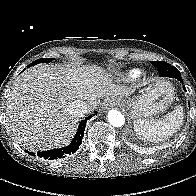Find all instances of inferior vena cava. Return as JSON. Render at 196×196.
<instances>
[{
    "mask_svg": "<svg viewBox=\"0 0 196 196\" xmlns=\"http://www.w3.org/2000/svg\"><path fill=\"white\" fill-rule=\"evenodd\" d=\"M69 111L71 114L81 117L88 111V105L81 100H75L70 106Z\"/></svg>",
    "mask_w": 196,
    "mask_h": 196,
    "instance_id": "obj_1",
    "label": "inferior vena cava"
}]
</instances>
